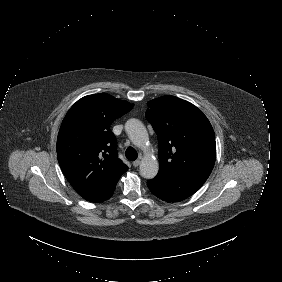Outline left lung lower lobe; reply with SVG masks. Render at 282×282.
Returning <instances> with one entry per match:
<instances>
[{"label": "left lung lower lobe", "instance_id": "obj_1", "mask_svg": "<svg viewBox=\"0 0 282 282\" xmlns=\"http://www.w3.org/2000/svg\"><path fill=\"white\" fill-rule=\"evenodd\" d=\"M207 178L200 175H169L158 172L154 179L148 180V187L158 198L167 202H178L194 194Z\"/></svg>", "mask_w": 282, "mask_h": 282}]
</instances>
